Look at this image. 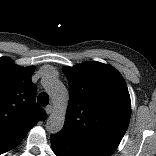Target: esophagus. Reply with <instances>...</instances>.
I'll return each mask as SVG.
<instances>
[{"label": "esophagus", "instance_id": "34e87169", "mask_svg": "<svg viewBox=\"0 0 156 156\" xmlns=\"http://www.w3.org/2000/svg\"><path fill=\"white\" fill-rule=\"evenodd\" d=\"M52 110H53L52 105H48V106H46V108H45V111H46V113H47L48 115L52 113Z\"/></svg>", "mask_w": 156, "mask_h": 156}]
</instances>
